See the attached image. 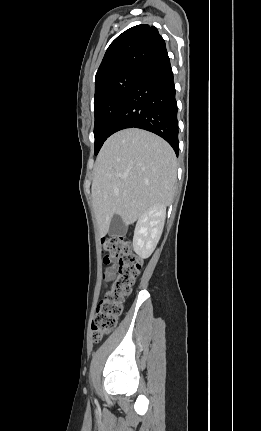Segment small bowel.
<instances>
[{
  "label": "small bowel",
  "instance_id": "c3829d8e",
  "mask_svg": "<svg viewBox=\"0 0 261 431\" xmlns=\"http://www.w3.org/2000/svg\"><path fill=\"white\" fill-rule=\"evenodd\" d=\"M113 274H114V268L113 267L108 268L104 274V279L106 281H109L112 278Z\"/></svg>",
  "mask_w": 261,
  "mask_h": 431
}]
</instances>
